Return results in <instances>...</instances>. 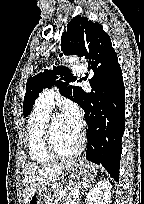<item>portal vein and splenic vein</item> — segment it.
<instances>
[{
  "label": "portal vein and splenic vein",
  "mask_w": 144,
  "mask_h": 204,
  "mask_svg": "<svg viewBox=\"0 0 144 204\" xmlns=\"http://www.w3.org/2000/svg\"><path fill=\"white\" fill-rule=\"evenodd\" d=\"M79 191L78 190H74L72 191V195L78 197L79 196Z\"/></svg>",
  "instance_id": "18ae733b"
}]
</instances>
